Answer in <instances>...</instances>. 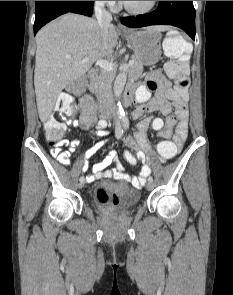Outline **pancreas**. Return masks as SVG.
<instances>
[{
    "instance_id": "1",
    "label": "pancreas",
    "mask_w": 233,
    "mask_h": 295,
    "mask_svg": "<svg viewBox=\"0 0 233 295\" xmlns=\"http://www.w3.org/2000/svg\"><path fill=\"white\" fill-rule=\"evenodd\" d=\"M130 72L135 77L142 76L143 73V64L134 58V63L130 67ZM115 77V72H109L105 70H101L99 74L91 78L90 80V92L95 94V96L99 100H104V98L108 95V92L111 88V83Z\"/></svg>"
}]
</instances>
